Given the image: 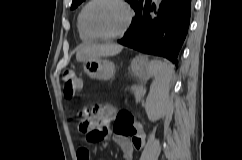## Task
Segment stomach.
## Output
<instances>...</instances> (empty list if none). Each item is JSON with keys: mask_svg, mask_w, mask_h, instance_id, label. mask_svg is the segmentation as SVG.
Segmentation results:
<instances>
[{"mask_svg": "<svg viewBox=\"0 0 242 160\" xmlns=\"http://www.w3.org/2000/svg\"><path fill=\"white\" fill-rule=\"evenodd\" d=\"M84 72L92 79L107 81L113 78L115 66L113 62L104 58L87 60L83 65ZM132 73L141 81L149 79L148 59L145 56H137L131 62Z\"/></svg>", "mask_w": 242, "mask_h": 160, "instance_id": "0dacf381", "label": "stomach"}]
</instances>
